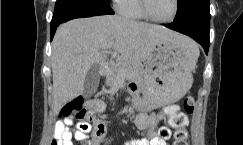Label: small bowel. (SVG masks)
I'll use <instances>...</instances> for the list:
<instances>
[{
    "mask_svg": "<svg viewBox=\"0 0 243 145\" xmlns=\"http://www.w3.org/2000/svg\"><path fill=\"white\" fill-rule=\"evenodd\" d=\"M87 107L91 109L93 126L90 124L84 127L77 125V130L72 132L70 129L71 119L58 121L54 128V138L59 141V145H73V139L86 141L88 145H105L108 143L104 122L95 118V113H101L105 110V104L101 100L95 99L88 101ZM162 119L163 115L160 113H139L136 116L135 124L139 130L147 131V137L128 140L124 145H167L170 138L169 129L161 128L159 131H155V126Z\"/></svg>",
    "mask_w": 243,
    "mask_h": 145,
    "instance_id": "obj_1",
    "label": "small bowel"
}]
</instances>
